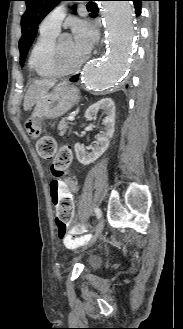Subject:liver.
<instances>
[{"label":"liver","instance_id":"1","mask_svg":"<svg viewBox=\"0 0 183 329\" xmlns=\"http://www.w3.org/2000/svg\"><path fill=\"white\" fill-rule=\"evenodd\" d=\"M55 85V81L52 80H36L29 86L25 98L23 107L25 111L31 109V107L37 103V101L43 97L50 88Z\"/></svg>","mask_w":183,"mask_h":329}]
</instances>
